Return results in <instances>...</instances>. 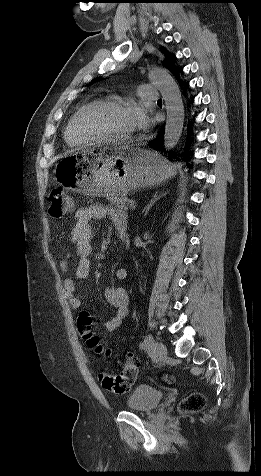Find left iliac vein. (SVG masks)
Returning a JSON list of instances; mask_svg holds the SVG:
<instances>
[{"mask_svg":"<svg viewBox=\"0 0 261 476\" xmlns=\"http://www.w3.org/2000/svg\"><path fill=\"white\" fill-rule=\"evenodd\" d=\"M152 352L154 357L162 358L167 354V348L162 342H156L153 345Z\"/></svg>","mask_w":261,"mask_h":476,"instance_id":"4c4485c4","label":"left iliac vein"}]
</instances>
